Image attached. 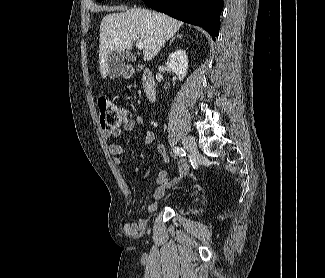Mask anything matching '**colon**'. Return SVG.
Masks as SVG:
<instances>
[{
	"label": "colon",
	"instance_id": "colon-1",
	"mask_svg": "<svg viewBox=\"0 0 325 278\" xmlns=\"http://www.w3.org/2000/svg\"><path fill=\"white\" fill-rule=\"evenodd\" d=\"M100 113V125L103 130H114L130 120V113L109 99L100 98L98 100Z\"/></svg>",
	"mask_w": 325,
	"mask_h": 278
}]
</instances>
